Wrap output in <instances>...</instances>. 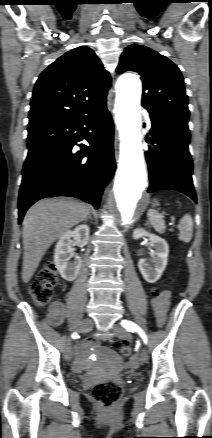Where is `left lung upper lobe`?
<instances>
[{"mask_svg":"<svg viewBox=\"0 0 212 438\" xmlns=\"http://www.w3.org/2000/svg\"><path fill=\"white\" fill-rule=\"evenodd\" d=\"M134 71L143 80L142 105L157 117L187 121L188 98L178 67L143 45H129L120 57L117 73Z\"/></svg>","mask_w":212,"mask_h":438,"instance_id":"5c2ea615","label":"left lung upper lobe"}]
</instances>
